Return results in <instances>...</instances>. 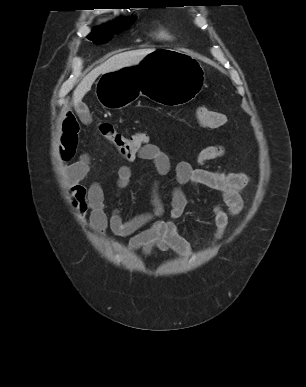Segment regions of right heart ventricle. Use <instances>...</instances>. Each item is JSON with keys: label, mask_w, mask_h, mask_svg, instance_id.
Masks as SVG:
<instances>
[{"label": "right heart ventricle", "mask_w": 306, "mask_h": 387, "mask_svg": "<svg viewBox=\"0 0 306 387\" xmlns=\"http://www.w3.org/2000/svg\"><path fill=\"white\" fill-rule=\"evenodd\" d=\"M156 36L159 38V39H162V40H170L172 38V36L170 35V33L164 28V27H160L156 33Z\"/></svg>", "instance_id": "1"}]
</instances>
